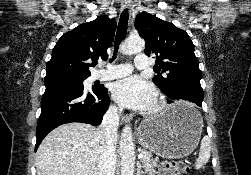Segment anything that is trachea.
<instances>
[{"mask_svg": "<svg viewBox=\"0 0 251 175\" xmlns=\"http://www.w3.org/2000/svg\"><path fill=\"white\" fill-rule=\"evenodd\" d=\"M128 19H129L128 10H124L120 16V20H119V24H118V28H117V32H116V38H115V42H114L115 50H114V57L112 60L115 59L119 45L126 36Z\"/></svg>", "mask_w": 251, "mask_h": 175, "instance_id": "obj_1", "label": "trachea"}]
</instances>
